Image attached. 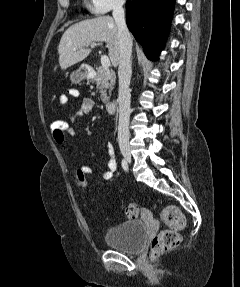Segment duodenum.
<instances>
[{"label":"duodenum","instance_id":"410a0bca","mask_svg":"<svg viewBox=\"0 0 240 287\" xmlns=\"http://www.w3.org/2000/svg\"><path fill=\"white\" fill-rule=\"evenodd\" d=\"M92 74V69L89 67L86 69V75L90 76ZM117 102L115 100H110L106 103V109L109 113H114L116 111Z\"/></svg>","mask_w":240,"mask_h":287}]
</instances>
